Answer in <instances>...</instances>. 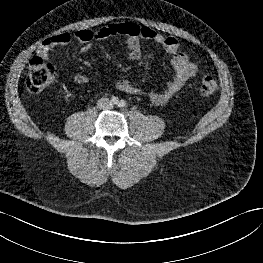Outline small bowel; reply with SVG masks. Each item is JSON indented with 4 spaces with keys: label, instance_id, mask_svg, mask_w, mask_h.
I'll return each mask as SVG.
<instances>
[{
    "label": "small bowel",
    "instance_id": "obj_1",
    "mask_svg": "<svg viewBox=\"0 0 263 263\" xmlns=\"http://www.w3.org/2000/svg\"><path fill=\"white\" fill-rule=\"evenodd\" d=\"M120 36L126 40L128 57L138 60L142 56L141 41L148 40L161 46L171 57V65L174 70L173 78L167 82L161 91H147L134 86L126 79L116 82L117 90L134 95H146L157 106L166 104L197 72V66L192 62L187 53L182 51L179 42L171 36H163L153 29L139 26L134 23H114L93 32L88 29L73 33H60L46 38L38 47L37 53L42 59H48L50 52L57 46H62L76 41L82 45L81 51L86 52L94 41L104 40L110 37ZM75 83L84 85L88 82L82 73H76L73 77Z\"/></svg>",
    "mask_w": 263,
    "mask_h": 263
}]
</instances>
